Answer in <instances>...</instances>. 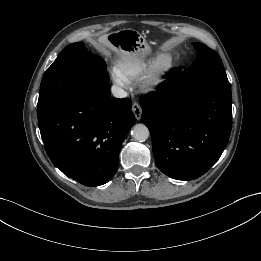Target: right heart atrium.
<instances>
[{
    "instance_id": "right-heart-atrium-1",
    "label": "right heart atrium",
    "mask_w": 261,
    "mask_h": 261,
    "mask_svg": "<svg viewBox=\"0 0 261 261\" xmlns=\"http://www.w3.org/2000/svg\"><path fill=\"white\" fill-rule=\"evenodd\" d=\"M111 78L115 85L121 88H125L127 86V81L124 80L115 69L111 71Z\"/></svg>"
}]
</instances>
